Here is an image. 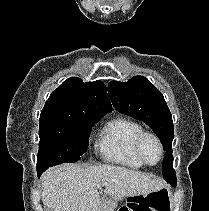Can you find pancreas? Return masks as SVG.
Listing matches in <instances>:
<instances>
[{"label": "pancreas", "instance_id": "obj_1", "mask_svg": "<svg viewBox=\"0 0 209 211\" xmlns=\"http://www.w3.org/2000/svg\"><path fill=\"white\" fill-rule=\"evenodd\" d=\"M103 206L105 207V211H112V209L116 206V203L109 200L105 201Z\"/></svg>", "mask_w": 209, "mask_h": 211}]
</instances>
